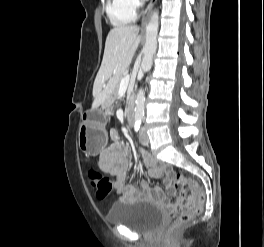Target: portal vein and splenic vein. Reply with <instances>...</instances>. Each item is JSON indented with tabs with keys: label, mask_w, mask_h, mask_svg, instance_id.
<instances>
[{
	"label": "portal vein and splenic vein",
	"mask_w": 264,
	"mask_h": 247,
	"mask_svg": "<svg viewBox=\"0 0 264 247\" xmlns=\"http://www.w3.org/2000/svg\"><path fill=\"white\" fill-rule=\"evenodd\" d=\"M129 80H130L129 75L125 76V77L121 80V82H120V90H121V89H126V88H127L128 84H129Z\"/></svg>",
	"instance_id": "portal-vein-and-splenic-vein-1"
}]
</instances>
